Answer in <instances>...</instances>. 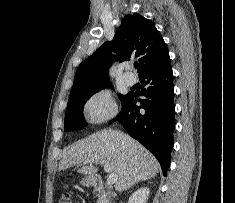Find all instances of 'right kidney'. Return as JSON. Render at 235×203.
<instances>
[{
    "label": "right kidney",
    "mask_w": 235,
    "mask_h": 203,
    "mask_svg": "<svg viewBox=\"0 0 235 203\" xmlns=\"http://www.w3.org/2000/svg\"><path fill=\"white\" fill-rule=\"evenodd\" d=\"M149 193V188H140L130 196L128 203H146Z\"/></svg>",
    "instance_id": "ca27d5eb"
}]
</instances>
